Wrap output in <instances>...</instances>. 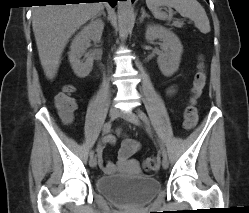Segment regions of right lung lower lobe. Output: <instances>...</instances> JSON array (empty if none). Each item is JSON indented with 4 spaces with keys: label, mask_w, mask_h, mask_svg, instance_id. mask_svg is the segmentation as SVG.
Masks as SVG:
<instances>
[{
    "label": "right lung lower lobe",
    "mask_w": 249,
    "mask_h": 213,
    "mask_svg": "<svg viewBox=\"0 0 249 213\" xmlns=\"http://www.w3.org/2000/svg\"><path fill=\"white\" fill-rule=\"evenodd\" d=\"M46 3H54V4H66V3H78L84 0H44ZM88 1H94V0H88ZM99 1V0H96ZM101 1H107L110 3L112 7L116 5L117 0H101ZM44 2V3H45ZM93 3V2H92Z\"/></svg>",
    "instance_id": "right-lung-lower-lobe-1"
}]
</instances>
